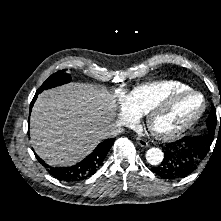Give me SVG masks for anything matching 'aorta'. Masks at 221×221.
<instances>
[{
  "label": "aorta",
  "mask_w": 221,
  "mask_h": 221,
  "mask_svg": "<svg viewBox=\"0 0 221 221\" xmlns=\"http://www.w3.org/2000/svg\"><path fill=\"white\" fill-rule=\"evenodd\" d=\"M164 154L161 149L152 147L146 152V160L151 165H158L163 161Z\"/></svg>",
  "instance_id": "1"
}]
</instances>
